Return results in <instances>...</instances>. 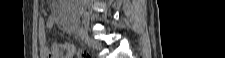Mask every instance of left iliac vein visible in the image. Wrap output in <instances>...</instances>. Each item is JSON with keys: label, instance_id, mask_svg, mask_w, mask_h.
Returning a JSON list of instances; mask_svg holds the SVG:
<instances>
[{"label": "left iliac vein", "instance_id": "1", "mask_svg": "<svg viewBox=\"0 0 225 58\" xmlns=\"http://www.w3.org/2000/svg\"><path fill=\"white\" fill-rule=\"evenodd\" d=\"M85 42L89 47H91L93 49L100 50L102 48V45L99 41H97L89 36L85 37Z\"/></svg>", "mask_w": 225, "mask_h": 58}]
</instances>
